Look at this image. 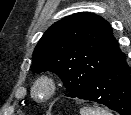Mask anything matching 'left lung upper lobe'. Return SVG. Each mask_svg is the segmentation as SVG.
Here are the masks:
<instances>
[{
    "label": "left lung upper lobe",
    "instance_id": "5c2ea615",
    "mask_svg": "<svg viewBox=\"0 0 131 115\" xmlns=\"http://www.w3.org/2000/svg\"><path fill=\"white\" fill-rule=\"evenodd\" d=\"M124 56L110 24L80 12L57 21L44 33L33 52L32 68L36 73H56L68 90L66 96L75 98Z\"/></svg>",
    "mask_w": 131,
    "mask_h": 115
}]
</instances>
